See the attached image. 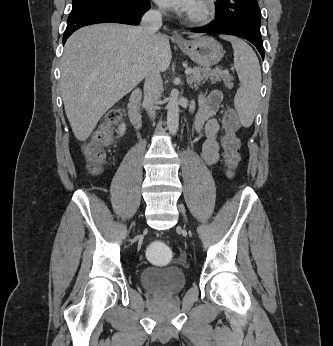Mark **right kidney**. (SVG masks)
Wrapping results in <instances>:
<instances>
[{
	"instance_id": "1",
	"label": "right kidney",
	"mask_w": 333,
	"mask_h": 346,
	"mask_svg": "<svg viewBox=\"0 0 333 346\" xmlns=\"http://www.w3.org/2000/svg\"><path fill=\"white\" fill-rule=\"evenodd\" d=\"M125 130H126V126H125V124L124 123H122L120 126H119V134L120 135H123L124 134V132H125Z\"/></svg>"
}]
</instances>
